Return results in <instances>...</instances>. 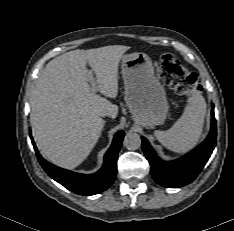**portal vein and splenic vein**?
I'll return each instance as SVG.
<instances>
[{
	"mask_svg": "<svg viewBox=\"0 0 234 231\" xmlns=\"http://www.w3.org/2000/svg\"><path fill=\"white\" fill-rule=\"evenodd\" d=\"M88 78H89V80H90V83H91V92L93 93V94H95L96 92H97V90H98V87H97V83L94 81V78H93V75H92V73H90L89 75H88Z\"/></svg>",
	"mask_w": 234,
	"mask_h": 231,
	"instance_id": "portal-vein-and-splenic-vein-1",
	"label": "portal vein and splenic vein"
}]
</instances>
